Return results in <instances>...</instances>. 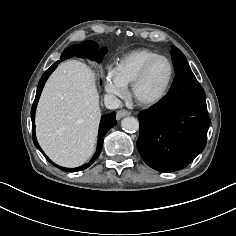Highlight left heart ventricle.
Listing matches in <instances>:
<instances>
[{"label":"left heart ventricle","instance_id":"obj_1","mask_svg":"<svg viewBox=\"0 0 236 236\" xmlns=\"http://www.w3.org/2000/svg\"><path fill=\"white\" fill-rule=\"evenodd\" d=\"M170 76V66L166 60L157 61L148 71L139 87L143 98H155L162 93Z\"/></svg>","mask_w":236,"mask_h":236}]
</instances>
